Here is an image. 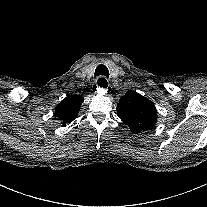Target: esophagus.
<instances>
[{
	"instance_id": "1",
	"label": "esophagus",
	"mask_w": 207,
	"mask_h": 207,
	"mask_svg": "<svg viewBox=\"0 0 207 207\" xmlns=\"http://www.w3.org/2000/svg\"><path fill=\"white\" fill-rule=\"evenodd\" d=\"M96 81H100L98 83V90L100 92H107L109 90V83L106 77H99L96 79Z\"/></svg>"
}]
</instances>
